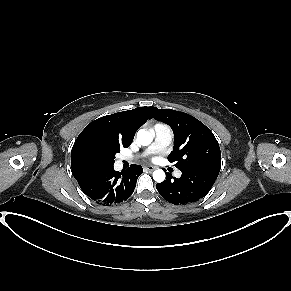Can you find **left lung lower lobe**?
<instances>
[{"label": "left lung lower lobe", "instance_id": "1", "mask_svg": "<svg viewBox=\"0 0 291 291\" xmlns=\"http://www.w3.org/2000/svg\"><path fill=\"white\" fill-rule=\"evenodd\" d=\"M180 178H173L171 174L156 188L160 195L175 205L196 202L203 198L213 186L220 169L214 167H190L180 169Z\"/></svg>", "mask_w": 291, "mask_h": 291}]
</instances>
